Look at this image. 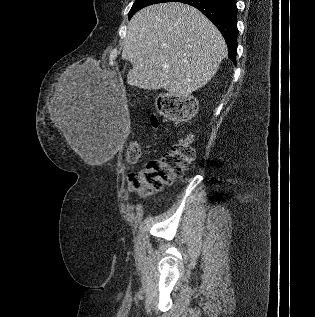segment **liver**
<instances>
[{"instance_id":"1","label":"liver","mask_w":315,"mask_h":317,"mask_svg":"<svg viewBox=\"0 0 315 317\" xmlns=\"http://www.w3.org/2000/svg\"><path fill=\"white\" fill-rule=\"evenodd\" d=\"M227 56L218 29L196 8L179 2L162 3L137 12L128 23L122 59L132 64L128 85L165 89L188 97L206 85ZM51 119L71 148L83 153V123L74 92L59 85Z\"/></svg>"}]
</instances>
